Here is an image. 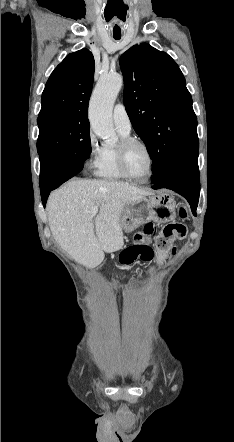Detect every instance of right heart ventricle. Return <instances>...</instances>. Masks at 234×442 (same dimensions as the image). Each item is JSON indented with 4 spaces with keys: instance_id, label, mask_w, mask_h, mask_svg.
<instances>
[{
    "instance_id": "obj_1",
    "label": "right heart ventricle",
    "mask_w": 234,
    "mask_h": 442,
    "mask_svg": "<svg viewBox=\"0 0 234 442\" xmlns=\"http://www.w3.org/2000/svg\"><path fill=\"white\" fill-rule=\"evenodd\" d=\"M121 139L129 137V134H124L118 131ZM96 174L100 178L112 181L126 180L118 167L116 147L104 146L102 148V154L99 159Z\"/></svg>"
}]
</instances>
